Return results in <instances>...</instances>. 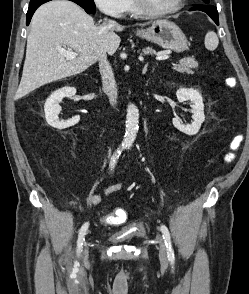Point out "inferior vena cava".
I'll use <instances>...</instances> for the list:
<instances>
[{"mask_svg": "<svg viewBox=\"0 0 249 294\" xmlns=\"http://www.w3.org/2000/svg\"><path fill=\"white\" fill-rule=\"evenodd\" d=\"M116 23L114 21H110L108 26H113ZM99 69L102 77L103 83V91L107 94L110 102L116 103L117 100V85L115 82L114 74L112 71V67L107 60L106 53H103L99 59Z\"/></svg>", "mask_w": 249, "mask_h": 294, "instance_id": "1", "label": "inferior vena cava"}]
</instances>
